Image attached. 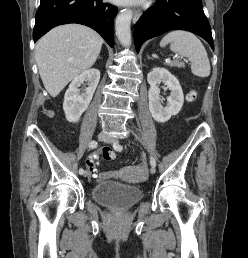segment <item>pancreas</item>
I'll list each match as a JSON object with an SVG mask.
<instances>
[{"label": "pancreas", "instance_id": "pancreas-1", "mask_svg": "<svg viewBox=\"0 0 248 258\" xmlns=\"http://www.w3.org/2000/svg\"><path fill=\"white\" fill-rule=\"evenodd\" d=\"M168 65L170 67H178V68L184 67V63L177 61V60L169 62Z\"/></svg>", "mask_w": 248, "mask_h": 258}]
</instances>
